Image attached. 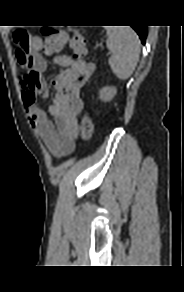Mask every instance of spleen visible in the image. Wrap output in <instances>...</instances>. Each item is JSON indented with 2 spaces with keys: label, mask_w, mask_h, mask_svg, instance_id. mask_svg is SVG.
<instances>
[{
  "label": "spleen",
  "mask_w": 184,
  "mask_h": 292,
  "mask_svg": "<svg viewBox=\"0 0 184 292\" xmlns=\"http://www.w3.org/2000/svg\"><path fill=\"white\" fill-rule=\"evenodd\" d=\"M107 48L111 51L109 65L121 80L128 79L138 63L140 40L131 27H107Z\"/></svg>",
  "instance_id": "1"
}]
</instances>
